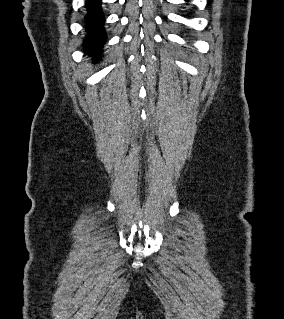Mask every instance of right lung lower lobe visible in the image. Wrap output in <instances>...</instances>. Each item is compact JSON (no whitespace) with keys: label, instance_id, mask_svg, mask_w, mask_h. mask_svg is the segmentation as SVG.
<instances>
[{"label":"right lung lower lobe","instance_id":"obj_1","mask_svg":"<svg viewBox=\"0 0 284 319\" xmlns=\"http://www.w3.org/2000/svg\"><path fill=\"white\" fill-rule=\"evenodd\" d=\"M101 0H87L86 27L88 35L85 39V52L91 56H98L106 35L103 28L104 17L100 9Z\"/></svg>","mask_w":284,"mask_h":319}]
</instances>
